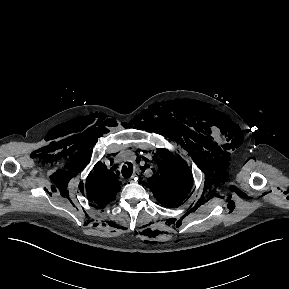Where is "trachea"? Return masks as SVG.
Returning a JSON list of instances; mask_svg holds the SVG:
<instances>
[{
	"instance_id": "1",
	"label": "trachea",
	"mask_w": 289,
	"mask_h": 289,
	"mask_svg": "<svg viewBox=\"0 0 289 289\" xmlns=\"http://www.w3.org/2000/svg\"><path fill=\"white\" fill-rule=\"evenodd\" d=\"M132 173H133V165L131 163H128V165H124L122 167V175L125 178H130Z\"/></svg>"
}]
</instances>
